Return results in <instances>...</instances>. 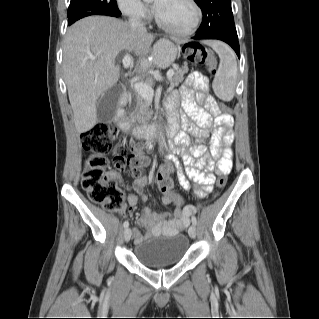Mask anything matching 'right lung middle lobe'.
I'll return each instance as SVG.
<instances>
[{
    "instance_id": "1",
    "label": "right lung middle lobe",
    "mask_w": 319,
    "mask_h": 319,
    "mask_svg": "<svg viewBox=\"0 0 319 319\" xmlns=\"http://www.w3.org/2000/svg\"><path fill=\"white\" fill-rule=\"evenodd\" d=\"M116 0H71L68 7V24L91 15H114L119 13Z\"/></svg>"
}]
</instances>
